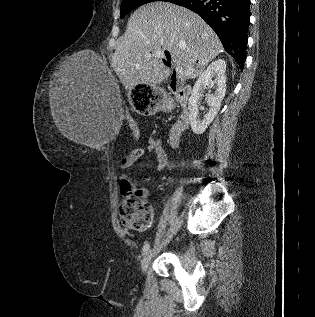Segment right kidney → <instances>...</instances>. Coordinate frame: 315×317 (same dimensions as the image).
<instances>
[{
  "instance_id": "1",
  "label": "right kidney",
  "mask_w": 315,
  "mask_h": 317,
  "mask_svg": "<svg viewBox=\"0 0 315 317\" xmlns=\"http://www.w3.org/2000/svg\"><path fill=\"white\" fill-rule=\"evenodd\" d=\"M215 77L214 80L212 78ZM216 85L214 94L207 97L209 112L203 119L199 118L200 97L205 89H210ZM226 91V62L223 59L213 61L207 69L197 79L191 96L188 101L190 112L189 119L192 131L197 134H203L210 123L213 121L220 110L221 102Z\"/></svg>"
}]
</instances>
